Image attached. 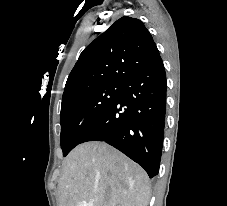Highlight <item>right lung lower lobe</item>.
<instances>
[{"mask_svg": "<svg viewBox=\"0 0 227 206\" xmlns=\"http://www.w3.org/2000/svg\"><path fill=\"white\" fill-rule=\"evenodd\" d=\"M166 108V75L158 58L122 82L117 100L90 128L81 143L105 141L142 166L150 178L158 174Z\"/></svg>", "mask_w": 227, "mask_h": 206, "instance_id": "right-lung-lower-lobe-1", "label": "right lung lower lobe"}]
</instances>
